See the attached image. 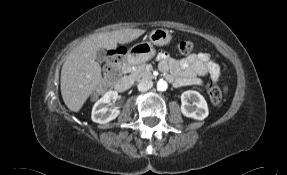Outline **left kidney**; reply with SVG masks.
Returning <instances> with one entry per match:
<instances>
[{
	"label": "left kidney",
	"instance_id": "obj_1",
	"mask_svg": "<svg viewBox=\"0 0 287 175\" xmlns=\"http://www.w3.org/2000/svg\"><path fill=\"white\" fill-rule=\"evenodd\" d=\"M189 100L192 103H189ZM181 102V112L186 117L204 120L209 114L205 98L197 91L187 90L183 92Z\"/></svg>",
	"mask_w": 287,
	"mask_h": 175
}]
</instances>
